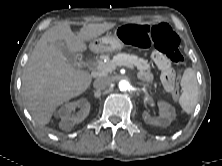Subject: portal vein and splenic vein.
<instances>
[{
  "label": "portal vein and splenic vein",
  "mask_w": 222,
  "mask_h": 166,
  "mask_svg": "<svg viewBox=\"0 0 222 166\" xmlns=\"http://www.w3.org/2000/svg\"><path fill=\"white\" fill-rule=\"evenodd\" d=\"M118 66H127V67H129L130 69L134 70V66H132V65H130V64H128V63H125V62L119 63ZM115 68H116L115 66H112V67H109V68L104 69L103 66H101L100 64L97 66V69H98V70H101L103 73H104L105 71H108V70H111V71H112V70H114Z\"/></svg>",
  "instance_id": "obj_1"
}]
</instances>
